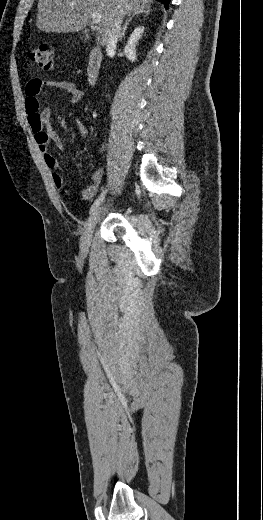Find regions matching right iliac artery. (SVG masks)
I'll return each mask as SVG.
<instances>
[{
    "label": "right iliac artery",
    "mask_w": 263,
    "mask_h": 520,
    "mask_svg": "<svg viewBox=\"0 0 263 520\" xmlns=\"http://www.w3.org/2000/svg\"><path fill=\"white\" fill-rule=\"evenodd\" d=\"M106 192H107L106 189L103 190V192L99 195V197L94 201L93 205L91 206L90 213H92L100 205V203L103 201V199L106 195Z\"/></svg>",
    "instance_id": "1"
}]
</instances>
